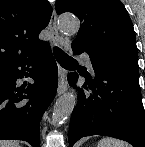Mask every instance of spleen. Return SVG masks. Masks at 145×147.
Instances as JSON below:
<instances>
[{
  "instance_id": "obj_1",
  "label": "spleen",
  "mask_w": 145,
  "mask_h": 147,
  "mask_svg": "<svg viewBox=\"0 0 145 147\" xmlns=\"http://www.w3.org/2000/svg\"><path fill=\"white\" fill-rule=\"evenodd\" d=\"M97 147H127L124 142L114 138H103L98 143Z\"/></svg>"
}]
</instances>
